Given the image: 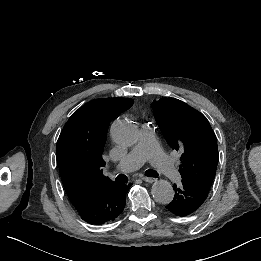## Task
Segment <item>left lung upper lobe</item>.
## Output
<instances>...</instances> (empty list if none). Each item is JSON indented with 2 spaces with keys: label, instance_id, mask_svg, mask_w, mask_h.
I'll return each instance as SVG.
<instances>
[{
  "label": "left lung upper lobe",
  "instance_id": "5c2ea615",
  "mask_svg": "<svg viewBox=\"0 0 261 261\" xmlns=\"http://www.w3.org/2000/svg\"><path fill=\"white\" fill-rule=\"evenodd\" d=\"M154 116L169 146L180 150L179 172L209 190L219 160L217 140L206 117L175 98L153 101Z\"/></svg>",
  "mask_w": 261,
  "mask_h": 261
}]
</instances>
